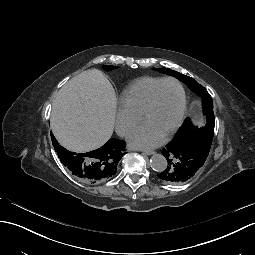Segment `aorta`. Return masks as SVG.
<instances>
[{
    "label": "aorta",
    "instance_id": "aorta-1",
    "mask_svg": "<svg viewBox=\"0 0 255 255\" xmlns=\"http://www.w3.org/2000/svg\"><path fill=\"white\" fill-rule=\"evenodd\" d=\"M150 166L156 172H162L167 167V160L162 154H154L150 159Z\"/></svg>",
    "mask_w": 255,
    "mask_h": 255
}]
</instances>
